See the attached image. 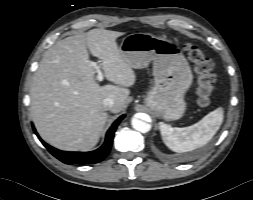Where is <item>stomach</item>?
<instances>
[{
    "mask_svg": "<svg viewBox=\"0 0 253 200\" xmlns=\"http://www.w3.org/2000/svg\"><path fill=\"white\" fill-rule=\"evenodd\" d=\"M119 50L122 58L135 69L153 61L155 84L145 98L152 113L166 120L181 118L186 109L184 95L193 75L178 46L149 33H133L122 40Z\"/></svg>",
    "mask_w": 253,
    "mask_h": 200,
    "instance_id": "stomach-1",
    "label": "stomach"
}]
</instances>
